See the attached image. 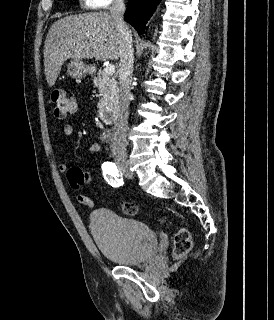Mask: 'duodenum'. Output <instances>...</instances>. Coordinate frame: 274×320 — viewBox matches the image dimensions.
Here are the masks:
<instances>
[{
    "label": "duodenum",
    "mask_w": 274,
    "mask_h": 320,
    "mask_svg": "<svg viewBox=\"0 0 274 320\" xmlns=\"http://www.w3.org/2000/svg\"><path fill=\"white\" fill-rule=\"evenodd\" d=\"M99 118L101 122L112 124L117 121L119 117V111L116 108H103L99 111Z\"/></svg>",
    "instance_id": "duodenum-1"
}]
</instances>
